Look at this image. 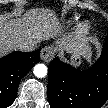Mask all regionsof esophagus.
Here are the masks:
<instances>
[{"label":"esophagus","mask_w":108,"mask_h":108,"mask_svg":"<svg viewBox=\"0 0 108 108\" xmlns=\"http://www.w3.org/2000/svg\"><path fill=\"white\" fill-rule=\"evenodd\" d=\"M54 55H55V50L52 47H50V46L44 47L41 50V59L44 62L51 61V59L54 57Z\"/></svg>","instance_id":"1"}]
</instances>
